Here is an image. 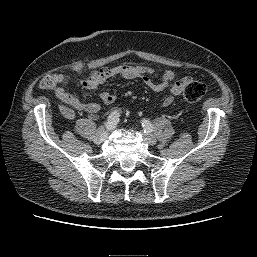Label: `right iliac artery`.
<instances>
[{
  "label": "right iliac artery",
  "mask_w": 257,
  "mask_h": 257,
  "mask_svg": "<svg viewBox=\"0 0 257 257\" xmlns=\"http://www.w3.org/2000/svg\"><path fill=\"white\" fill-rule=\"evenodd\" d=\"M119 112L118 111H113L110 115H109V117H108V120H107V122H106V124H105V126H106V128L108 129V130H111V129H113L116 125H117V123H118V121H119Z\"/></svg>",
  "instance_id": "82829eb1"
}]
</instances>
